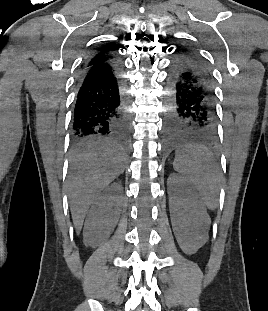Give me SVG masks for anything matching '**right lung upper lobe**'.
I'll return each mask as SVG.
<instances>
[{"label": "right lung upper lobe", "mask_w": 268, "mask_h": 311, "mask_svg": "<svg viewBox=\"0 0 268 311\" xmlns=\"http://www.w3.org/2000/svg\"><path fill=\"white\" fill-rule=\"evenodd\" d=\"M116 48L111 46H105L99 49V51L88 61L90 65L106 63L115 58L113 51Z\"/></svg>", "instance_id": "obj_1"}]
</instances>
